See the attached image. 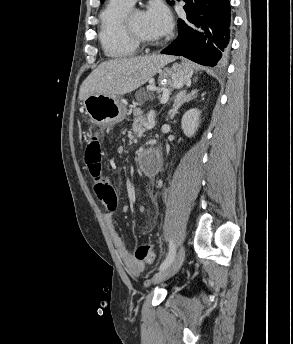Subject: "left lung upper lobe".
Instances as JSON below:
<instances>
[{
    "instance_id": "1",
    "label": "left lung upper lobe",
    "mask_w": 293,
    "mask_h": 344,
    "mask_svg": "<svg viewBox=\"0 0 293 344\" xmlns=\"http://www.w3.org/2000/svg\"><path fill=\"white\" fill-rule=\"evenodd\" d=\"M104 0H101V2H103ZM167 2L169 3V4H172L173 2H170L169 0H167Z\"/></svg>"
}]
</instances>
